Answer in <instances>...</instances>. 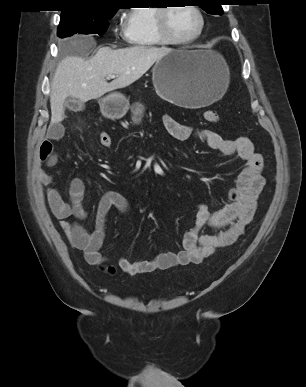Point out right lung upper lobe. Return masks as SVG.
Returning a JSON list of instances; mask_svg holds the SVG:
<instances>
[{
	"instance_id": "obj_1",
	"label": "right lung upper lobe",
	"mask_w": 306,
	"mask_h": 387,
	"mask_svg": "<svg viewBox=\"0 0 306 387\" xmlns=\"http://www.w3.org/2000/svg\"><path fill=\"white\" fill-rule=\"evenodd\" d=\"M66 6L62 14L66 13H96L105 10H118L116 0H65Z\"/></svg>"
}]
</instances>
